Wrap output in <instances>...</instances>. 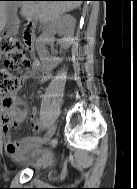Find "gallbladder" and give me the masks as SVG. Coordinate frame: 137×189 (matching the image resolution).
Returning <instances> with one entry per match:
<instances>
[{
    "label": "gallbladder",
    "instance_id": "1",
    "mask_svg": "<svg viewBox=\"0 0 137 189\" xmlns=\"http://www.w3.org/2000/svg\"><path fill=\"white\" fill-rule=\"evenodd\" d=\"M21 6V3H12L6 9L7 25L6 33L8 35H16L19 28V19L17 17V8Z\"/></svg>",
    "mask_w": 137,
    "mask_h": 189
}]
</instances>
